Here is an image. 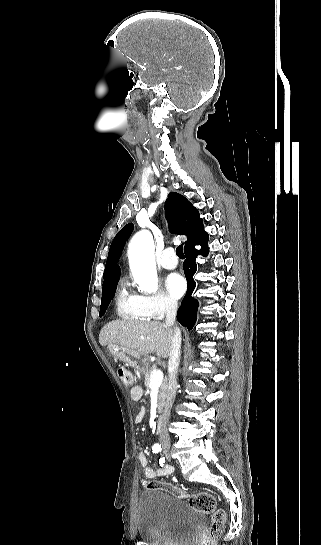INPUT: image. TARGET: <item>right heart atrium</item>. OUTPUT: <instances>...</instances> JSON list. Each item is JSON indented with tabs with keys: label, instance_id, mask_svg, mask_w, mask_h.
<instances>
[{
	"label": "right heart atrium",
	"instance_id": "right-heart-atrium-1",
	"mask_svg": "<svg viewBox=\"0 0 321 545\" xmlns=\"http://www.w3.org/2000/svg\"><path fill=\"white\" fill-rule=\"evenodd\" d=\"M137 299L140 309L151 320H162L178 308L175 301L161 294L156 297L137 296Z\"/></svg>",
	"mask_w": 321,
	"mask_h": 545
}]
</instances>
